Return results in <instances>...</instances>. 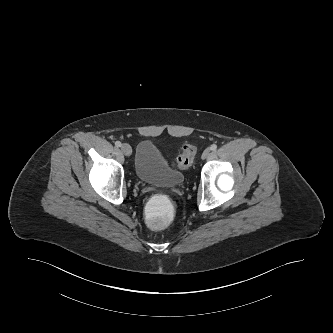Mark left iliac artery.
<instances>
[{
	"instance_id": "1",
	"label": "left iliac artery",
	"mask_w": 333,
	"mask_h": 333,
	"mask_svg": "<svg viewBox=\"0 0 333 333\" xmlns=\"http://www.w3.org/2000/svg\"><path fill=\"white\" fill-rule=\"evenodd\" d=\"M210 149H211L212 151H215V150L217 149V145H216V144H212V145L210 146Z\"/></svg>"
}]
</instances>
